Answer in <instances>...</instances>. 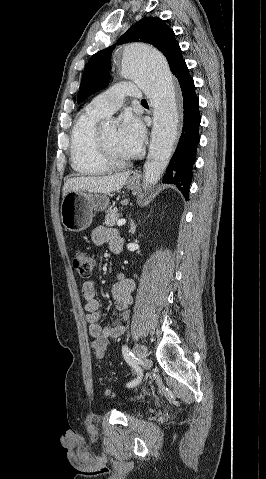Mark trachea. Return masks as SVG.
I'll list each match as a JSON object with an SVG mask.
<instances>
[{"mask_svg":"<svg viewBox=\"0 0 266 479\" xmlns=\"http://www.w3.org/2000/svg\"><path fill=\"white\" fill-rule=\"evenodd\" d=\"M141 102H146V100H145V99H142V101H141Z\"/></svg>","mask_w":266,"mask_h":479,"instance_id":"obj_1","label":"trachea"}]
</instances>
